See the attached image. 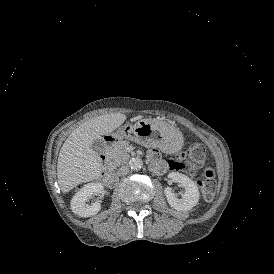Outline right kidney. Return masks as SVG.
Returning a JSON list of instances; mask_svg holds the SVG:
<instances>
[{"label":"right kidney","mask_w":274,"mask_h":274,"mask_svg":"<svg viewBox=\"0 0 274 274\" xmlns=\"http://www.w3.org/2000/svg\"><path fill=\"white\" fill-rule=\"evenodd\" d=\"M103 190L101 183L92 182L84 185L71 199L72 211L80 217L96 215L101 209V204L97 201L92 205H87L86 201L93 193L101 194Z\"/></svg>","instance_id":"obj_1"}]
</instances>
